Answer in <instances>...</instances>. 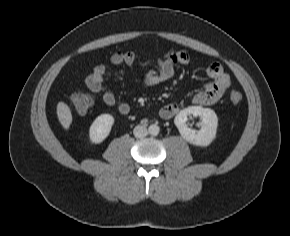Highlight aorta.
<instances>
[{"mask_svg":"<svg viewBox=\"0 0 290 236\" xmlns=\"http://www.w3.org/2000/svg\"><path fill=\"white\" fill-rule=\"evenodd\" d=\"M148 132H149V134H151V135H153V136H156V135L159 134V132H160V128H159L158 125H156V124H152V125H150L149 128H148Z\"/></svg>","mask_w":290,"mask_h":236,"instance_id":"obj_1","label":"aorta"}]
</instances>
